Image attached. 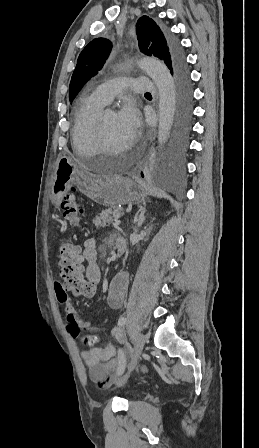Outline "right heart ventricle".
Instances as JSON below:
<instances>
[{"label": "right heart ventricle", "mask_w": 259, "mask_h": 448, "mask_svg": "<svg viewBox=\"0 0 259 448\" xmlns=\"http://www.w3.org/2000/svg\"><path fill=\"white\" fill-rule=\"evenodd\" d=\"M105 105L96 96L94 89L88 91L82 97V105L75 114L71 133L73 148L97 150L95 141L96 117Z\"/></svg>", "instance_id": "1"}]
</instances>
